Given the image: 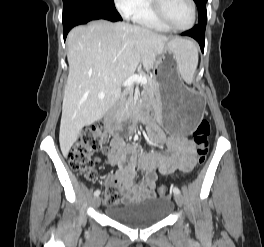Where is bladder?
I'll return each instance as SVG.
<instances>
[{
    "mask_svg": "<svg viewBox=\"0 0 264 247\" xmlns=\"http://www.w3.org/2000/svg\"><path fill=\"white\" fill-rule=\"evenodd\" d=\"M172 203L165 198H148L127 202L108 210L109 217L122 225L145 228L163 221L171 212Z\"/></svg>",
    "mask_w": 264,
    "mask_h": 247,
    "instance_id": "1",
    "label": "bladder"
}]
</instances>
